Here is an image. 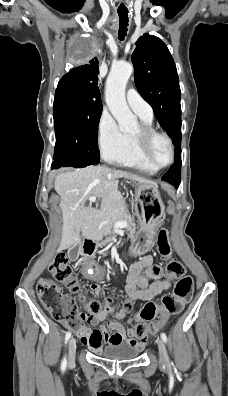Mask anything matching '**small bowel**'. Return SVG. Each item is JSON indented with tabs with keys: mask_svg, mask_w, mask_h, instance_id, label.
I'll list each match as a JSON object with an SVG mask.
<instances>
[{
	"mask_svg": "<svg viewBox=\"0 0 228 396\" xmlns=\"http://www.w3.org/2000/svg\"><path fill=\"white\" fill-rule=\"evenodd\" d=\"M83 271L90 277L101 274V269L91 263L85 264ZM162 274L163 270L161 266L154 264L152 255L143 256L130 266L125 283L126 294L134 301H150L161 296L172 286L170 280H160ZM90 290L98 297L104 295L103 290L97 283H92ZM110 313H115V318L110 320L107 326L101 324L97 329L91 330L88 327H83L76 331L82 344L94 352L99 351L104 344L120 342L129 343L142 350L146 338H138L134 327L125 329L118 321L126 316V310L121 309L115 312L110 305H107L103 312L90 322L93 324L101 322Z\"/></svg>",
	"mask_w": 228,
	"mask_h": 396,
	"instance_id": "c3829d8e",
	"label": "small bowel"
}]
</instances>
